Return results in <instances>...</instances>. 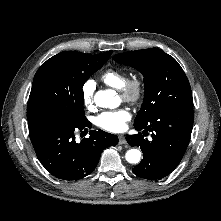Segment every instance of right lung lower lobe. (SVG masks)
I'll list each match as a JSON object with an SVG mask.
<instances>
[{
	"label": "right lung lower lobe",
	"mask_w": 221,
	"mask_h": 221,
	"mask_svg": "<svg viewBox=\"0 0 221 221\" xmlns=\"http://www.w3.org/2000/svg\"><path fill=\"white\" fill-rule=\"evenodd\" d=\"M29 136L41 164L53 176L79 180L93 172L102 151L118 143V137L102 130H91L89 138L78 142L75 132L91 128L86 120L67 121L60 116L42 114L28 120Z\"/></svg>",
	"instance_id": "98d812e1"
}]
</instances>
